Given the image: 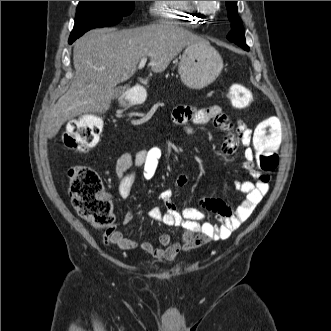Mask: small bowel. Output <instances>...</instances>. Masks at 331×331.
Segmentation results:
<instances>
[{
    "label": "small bowel",
    "mask_w": 331,
    "mask_h": 331,
    "mask_svg": "<svg viewBox=\"0 0 331 331\" xmlns=\"http://www.w3.org/2000/svg\"><path fill=\"white\" fill-rule=\"evenodd\" d=\"M173 121L190 131V124L201 125L213 122L214 126L225 131L227 136L221 145V152L225 156L234 154L239 147H244V168L249 171L252 181H235V188L246 194V198L235 209L224 201L204 197L200 206L214 215L217 223L206 219L202 210L185 207L179 211L172 201L173 191L165 189L160 193V200L165 210L153 207L149 211L151 220L171 227H180L184 230L182 237L173 242L170 235L161 233L158 237L159 246L149 241L138 244L126 237L121 231L109 229L104 235V241L118 246L122 250L131 251L140 247L147 254L160 259L173 260L181 251H189L210 241L226 240L232 232L239 228L253 213L257 205L269 190L270 176L255 169L253 132L242 122L233 126L222 108L213 105L206 108L179 106L173 111ZM162 150L158 146L140 150L135 154L125 153L117 161L116 177L119 183V194L123 199L130 196L135 181V168L143 169V177L150 180L154 177ZM187 182L185 175H180L175 182L176 186H183ZM135 218L133 211H127L123 217V224H130Z\"/></svg>",
    "instance_id": "obj_1"
}]
</instances>
